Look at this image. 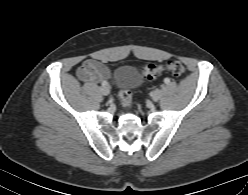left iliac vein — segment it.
<instances>
[{
    "label": "left iliac vein",
    "mask_w": 248,
    "mask_h": 195,
    "mask_svg": "<svg viewBox=\"0 0 248 195\" xmlns=\"http://www.w3.org/2000/svg\"><path fill=\"white\" fill-rule=\"evenodd\" d=\"M151 97H152L153 101L157 102L161 97L160 90L157 89V90L153 91L151 94Z\"/></svg>",
    "instance_id": "1"
}]
</instances>
